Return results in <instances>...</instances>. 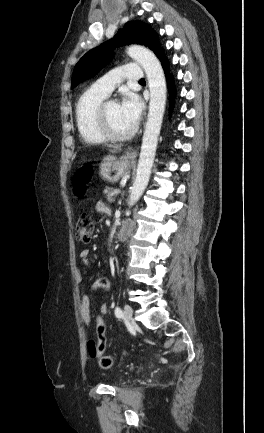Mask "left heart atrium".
<instances>
[{"mask_svg":"<svg viewBox=\"0 0 264 433\" xmlns=\"http://www.w3.org/2000/svg\"><path fill=\"white\" fill-rule=\"evenodd\" d=\"M120 107L130 122L134 125L138 123L142 115L143 105L136 94L131 92L125 93Z\"/></svg>","mask_w":264,"mask_h":433,"instance_id":"1","label":"left heart atrium"}]
</instances>
